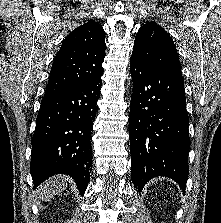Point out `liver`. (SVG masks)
Segmentation results:
<instances>
[{
    "mask_svg": "<svg viewBox=\"0 0 221 223\" xmlns=\"http://www.w3.org/2000/svg\"><path fill=\"white\" fill-rule=\"evenodd\" d=\"M67 178L64 176H54L42 184L37 190L36 195L39 199L47 202L54 198L59 192L65 189Z\"/></svg>",
    "mask_w": 221,
    "mask_h": 223,
    "instance_id": "obj_1",
    "label": "liver"
}]
</instances>
